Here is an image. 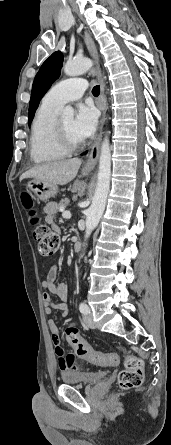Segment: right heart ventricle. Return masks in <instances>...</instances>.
<instances>
[{"label":"right heart ventricle","mask_w":171,"mask_h":445,"mask_svg":"<svg viewBox=\"0 0 171 445\" xmlns=\"http://www.w3.org/2000/svg\"><path fill=\"white\" fill-rule=\"evenodd\" d=\"M59 110L42 102L35 114L30 133V156L35 163L57 160L66 154L57 145L53 134V123Z\"/></svg>","instance_id":"obj_1"}]
</instances>
